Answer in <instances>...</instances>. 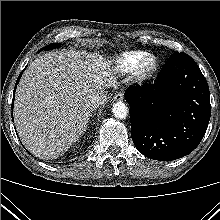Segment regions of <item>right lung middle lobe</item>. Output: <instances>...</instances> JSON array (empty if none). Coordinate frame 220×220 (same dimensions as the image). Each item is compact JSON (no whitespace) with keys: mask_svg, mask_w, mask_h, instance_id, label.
I'll return each mask as SVG.
<instances>
[{"mask_svg":"<svg viewBox=\"0 0 220 220\" xmlns=\"http://www.w3.org/2000/svg\"><path fill=\"white\" fill-rule=\"evenodd\" d=\"M59 46H60L59 43H53V44H50V45L44 47V50H50V49H53V48H57Z\"/></svg>","mask_w":220,"mask_h":220,"instance_id":"dd1d6c3e","label":"right lung middle lobe"}]
</instances>
